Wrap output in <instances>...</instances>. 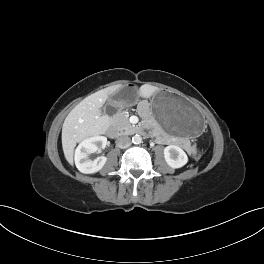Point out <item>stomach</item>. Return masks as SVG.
I'll list each match as a JSON object with an SVG mask.
<instances>
[{
  "label": "stomach",
  "instance_id": "obj_1",
  "mask_svg": "<svg viewBox=\"0 0 264 264\" xmlns=\"http://www.w3.org/2000/svg\"><path fill=\"white\" fill-rule=\"evenodd\" d=\"M130 91L129 87L117 90L109 96V103L118 108L132 106L135 98ZM147 106L152 117L173 137L193 139L203 131V116L186 98L175 92L158 91Z\"/></svg>",
  "mask_w": 264,
  "mask_h": 264
}]
</instances>
